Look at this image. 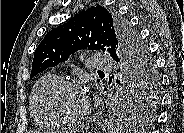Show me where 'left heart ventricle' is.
Listing matches in <instances>:
<instances>
[{
  "mask_svg": "<svg viewBox=\"0 0 184 133\" xmlns=\"http://www.w3.org/2000/svg\"><path fill=\"white\" fill-rule=\"evenodd\" d=\"M56 105L60 115L77 119L87 111L88 97L83 90L68 88L58 95Z\"/></svg>",
  "mask_w": 184,
  "mask_h": 133,
  "instance_id": "obj_1",
  "label": "left heart ventricle"
}]
</instances>
